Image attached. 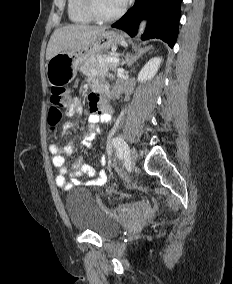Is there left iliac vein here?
I'll list each match as a JSON object with an SVG mask.
<instances>
[{"label":"left iliac vein","instance_id":"obj_1","mask_svg":"<svg viewBox=\"0 0 233 284\" xmlns=\"http://www.w3.org/2000/svg\"><path fill=\"white\" fill-rule=\"evenodd\" d=\"M137 157H138V155H137L136 150L133 149V150L129 151L128 155L125 158L126 164L129 165V166L135 164Z\"/></svg>","mask_w":233,"mask_h":284}]
</instances>
